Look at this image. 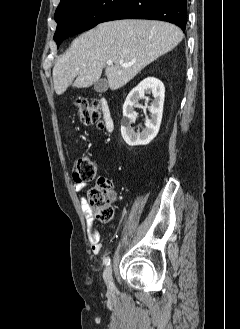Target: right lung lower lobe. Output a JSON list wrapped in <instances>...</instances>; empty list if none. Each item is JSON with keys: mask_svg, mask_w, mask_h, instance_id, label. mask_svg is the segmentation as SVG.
I'll return each instance as SVG.
<instances>
[{"mask_svg": "<svg viewBox=\"0 0 240 329\" xmlns=\"http://www.w3.org/2000/svg\"><path fill=\"white\" fill-rule=\"evenodd\" d=\"M118 19H154L173 23L183 31L187 23V0H124L102 22Z\"/></svg>", "mask_w": 240, "mask_h": 329, "instance_id": "98d812e1", "label": "right lung lower lobe"}]
</instances>
